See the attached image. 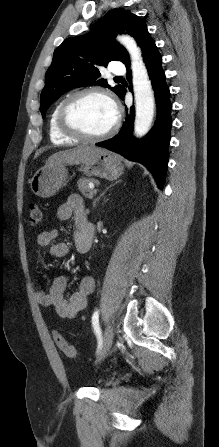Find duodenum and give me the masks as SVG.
Here are the masks:
<instances>
[{
	"label": "duodenum",
	"instance_id": "obj_1",
	"mask_svg": "<svg viewBox=\"0 0 219 447\" xmlns=\"http://www.w3.org/2000/svg\"><path fill=\"white\" fill-rule=\"evenodd\" d=\"M94 233H95V229H94L93 224L91 222H89V220L85 216V218L82 222V234H83V238H84V241L81 246L82 253H86L90 250L91 243H92V240L94 237Z\"/></svg>",
	"mask_w": 219,
	"mask_h": 447
}]
</instances>
